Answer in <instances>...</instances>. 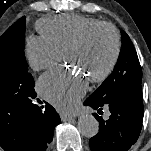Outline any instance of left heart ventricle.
<instances>
[{
  "instance_id": "1",
  "label": "left heart ventricle",
  "mask_w": 151,
  "mask_h": 151,
  "mask_svg": "<svg viewBox=\"0 0 151 151\" xmlns=\"http://www.w3.org/2000/svg\"><path fill=\"white\" fill-rule=\"evenodd\" d=\"M113 54V38L107 30L94 33L88 43L69 56V62L90 78L101 73Z\"/></svg>"
}]
</instances>
